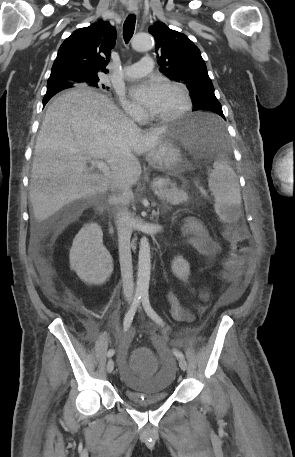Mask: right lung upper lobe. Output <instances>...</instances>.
Listing matches in <instances>:
<instances>
[{
  "label": "right lung upper lobe",
  "mask_w": 295,
  "mask_h": 457,
  "mask_svg": "<svg viewBox=\"0 0 295 457\" xmlns=\"http://www.w3.org/2000/svg\"><path fill=\"white\" fill-rule=\"evenodd\" d=\"M115 41L116 30L107 21L77 29L61 44L47 85L87 84L98 73H107Z\"/></svg>",
  "instance_id": "obj_1"
}]
</instances>
